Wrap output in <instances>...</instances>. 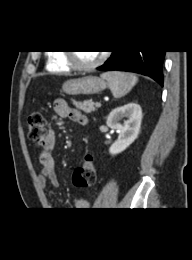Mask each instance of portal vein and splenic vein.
Returning <instances> with one entry per match:
<instances>
[{"mask_svg": "<svg viewBox=\"0 0 192 260\" xmlns=\"http://www.w3.org/2000/svg\"><path fill=\"white\" fill-rule=\"evenodd\" d=\"M95 106H96V107H101V103H100V102H96V103H95Z\"/></svg>", "mask_w": 192, "mask_h": 260, "instance_id": "portal-vein-and-splenic-vein-1", "label": "portal vein and splenic vein"}]
</instances>
